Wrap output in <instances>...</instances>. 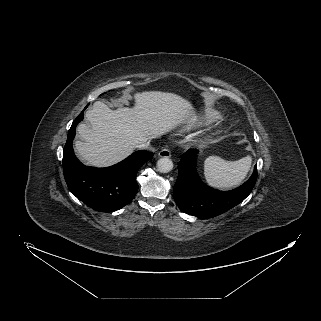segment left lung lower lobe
Listing matches in <instances>:
<instances>
[{
	"mask_svg": "<svg viewBox=\"0 0 321 321\" xmlns=\"http://www.w3.org/2000/svg\"><path fill=\"white\" fill-rule=\"evenodd\" d=\"M197 154L195 149L188 150L178 165V179L173 194L182 212L200 218H212L238 205L251 193L257 180L256 166L248 181L240 187L218 191L200 181L196 172Z\"/></svg>",
	"mask_w": 321,
	"mask_h": 321,
	"instance_id": "obj_1",
	"label": "left lung lower lobe"
}]
</instances>
